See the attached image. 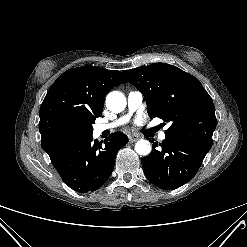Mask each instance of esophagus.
<instances>
[{
	"label": "esophagus",
	"mask_w": 247,
	"mask_h": 247,
	"mask_svg": "<svg viewBox=\"0 0 247 247\" xmlns=\"http://www.w3.org/2000/svg\"><path fill=\"white\" fill-rule=\"evenodd\" d=\"M138 139H139V136H137V135H130L129 136V141L131 143L136 142Z\"/></svg>",
	"instance_id": "esophagus-1"
}]
</instances>
